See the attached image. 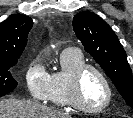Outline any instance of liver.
<instances>
[{
	"label": "liver",
	"instance_id": "6515ba94",
	"mask_svg": "<svg viewBox=\"0 0 133 118\" xmlns=\"http://www.w3.org/2000/svg\"><path fill=\"white\" fill-rule=\"evenodd\" d=\"M0 118H71V116L35 102L5 99L0 101Z\"/></svg>",
	"mask_w": 133,
	"mask_h": 118
}]
</instances>
